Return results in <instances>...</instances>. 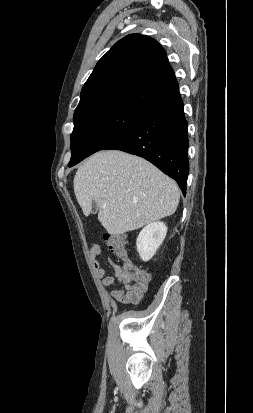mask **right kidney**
Instances as JSON below:
<instances>
[{"instance_id": "right-kidney-1", "label": "right kidney", "mask_w": 253, "mask_h": 413, "mask_svg": "<svg viewBox=\"0 0 253 413\" xmlns=\"http://www.w3.org/2000/svg\"><path fill=\"white\" fill-rule=\"evenodd\" d=\"M167 233L163 222H153L145 226L136 241L137 251L143 261H149L162 244Z\"/></svg>"}]
</instances>
